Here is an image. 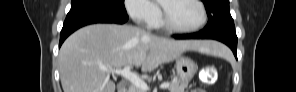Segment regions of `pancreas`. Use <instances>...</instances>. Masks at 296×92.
Masks as SVG:
<instances>
[{
  "instance_id": "cf45deb5",
  "label": "pancreas",
  "mask_w": 296,
  "mask_h": 92,
  "mask_svg": "<svg viewBox=\"0 0 296 92\" xmlns=\"http://www.w3.org/2000/svg\"><path fill=\"white\" fill-rule=\"evenodd\" d=\"M188 82H181L180 80L174 78L168 86L169 92H184V89L187 88ZM132 92H145L144 90L134 87Z\"/></svg>"
}]
</instances>
